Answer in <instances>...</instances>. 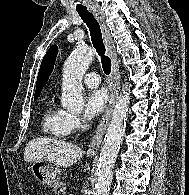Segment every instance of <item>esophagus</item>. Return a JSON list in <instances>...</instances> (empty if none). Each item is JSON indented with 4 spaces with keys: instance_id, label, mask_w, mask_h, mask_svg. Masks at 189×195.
Instances as JSON below:
<instances>
[{
    "instance_id": "esophagus-1",
    "label": "esophagus",
    "mask_w": 189,
    "mask_h": 195,
    "mask_svg": "<svg viewBox=\"0 0 189 195\" xmlns=\"http://www.w3.org/2000/svg\"><path fill=\"white\" fill-rule=\"evenodd\" d=\"M90 9L95 16L96 20L98 21L100 25V29L103 35V39L105 42L106 50L107 53L111 59V75H110V80H111V97L108 103V106L102 116V119L100 123L98 124V127L92 137V140L88 146L87 149V154H95L101 145V142L103 140V137L105 135V132L107 130V127L110 122V118L112 115V111L115 105L116 98L119 93V84H120V74H119V66H118V60H117V55L115 52V47L113 44V40L110 34V31L105 23V19L101 12L99 11L98 7L95 5L90 6Z\"/></svg>"
}]
</instances>
